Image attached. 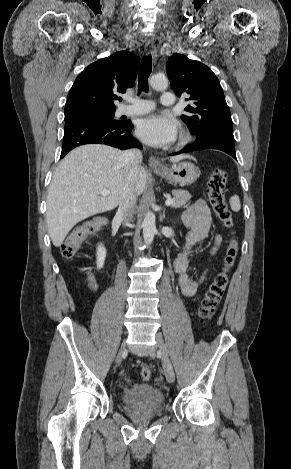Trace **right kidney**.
Returning <instances> with one entry per match:
<instances>
[{
  "instance_id": "1",
  "label": "right kidney",
  "mask_w": 291,
  "mask_h": 469,
  "mask_svg": "<svg viewBox=\"0 0 291 469\" xmlns=\"http://www.w3.org/2000/svg\"><path fill=\"white\" fill-rule=\"evenodd\" d=\"M105 258H106V249L102 244H100L97 248V267L99 269L103 267Z\"/></svg>"
}]
</instances>
